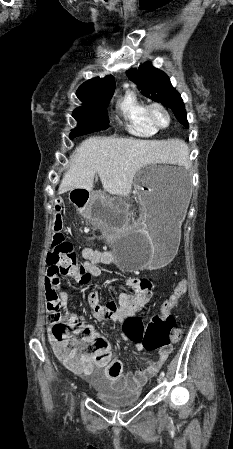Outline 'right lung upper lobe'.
I'll list each match as a JSON object with an SVG mask.
<instances>
[{"label":"right lung upper lobe","instance_id":"cb5924a9","mask_svg":"<svg viewBox=\"0 0 233 449\" xmlns=\"http://www.w3.org/2000/svg\"><path fill=\"white\" fill-rule=\"evenodd\" d=\"M115 89V80L113 76L104 78H92L84 82L77 90L76 95L79 99L84 100L91 97L107 96L113 94Z\"/></svg>","mask_w":233,"mask_h":449}]
</instances>
